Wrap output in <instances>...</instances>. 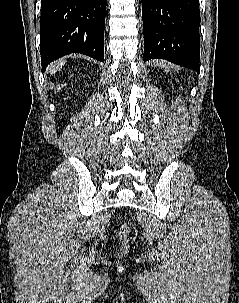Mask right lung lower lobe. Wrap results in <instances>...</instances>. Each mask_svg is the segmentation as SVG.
<instances>
[{"instance_id": "obj_1", "label": "right lung lower lobe", "mask_w": 239, "mask_h": 303, "mask_svg": "<svg viewBox=\"0 0 239 303\" xmlns=\"http://www.w3.org/2000/svg\"><path fill=\"white\" fill-rule=\"evenodd\" d=\"M107 0H41L42 71L51 61L82 53L104 62Z\"/></svg>"}]
</instances>
